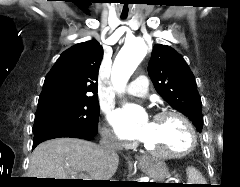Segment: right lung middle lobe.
<instances>
[{
    "mask_svg": "<svg viewBox=\"0 0 240 187\" xmlns=\"http://www.w3.org/2000/svg\"><path fill=\"white\" fill-rule=\"evenodd\" d=\"M99 114L97 99L59 100L38 105L33 133L50 127H64L79 132L95 131Z\"/></svg>",
    "mask_w": 240,
    "mask_h": 187,
    "instance_id": "obj_1",
    "label": "right lung middle lobe"
}]
</instances>
